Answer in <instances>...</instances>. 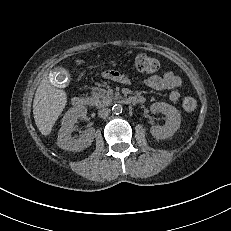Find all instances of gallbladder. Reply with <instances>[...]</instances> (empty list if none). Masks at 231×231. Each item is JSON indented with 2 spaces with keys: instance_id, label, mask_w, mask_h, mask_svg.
<instances>
[{
  "instance_id": "obj_1",
  "label": "gallbladder",
  "mask_w": 231,
  "mask_h": 231,
  "mask_svg": "<svg viewBox=\"0 0 231 231\" xmlns=\"http://www.w3.org/2000/svg\"><path fill=\"white\" fill-rule=\"evenodd\" d=\"M50 82L58 88H65L70 83V72L65 67H55L50 72Z\"/></svg>"
}]
</instances>
